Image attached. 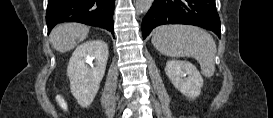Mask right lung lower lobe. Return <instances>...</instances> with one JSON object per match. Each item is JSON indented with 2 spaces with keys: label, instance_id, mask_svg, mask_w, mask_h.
Wrapping results in <instances>:
<instances>
[{
  "label": "right lung lower lobe",
  "instance_id": "1",
  "mask_svg": "<svg viewBox=\"0 0 273 118\" xmlns=\"http://www.w3.org/2000/svg\"><path fill=\"white\" fill-rule=\"evenodd\" d=\"M115 0H48V34L63 22H79L109 30L112 34Z\"/></svg>",
  "mask_w": 273,
  "mask_h": 118
}]
</instances>
